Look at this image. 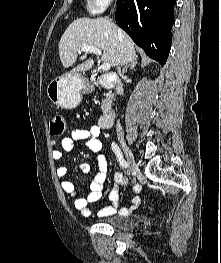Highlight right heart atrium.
I'll return each instance as SVG.
<instances>
[{"label":"right heart atrium","mask_w":221,"mask_h":263,"mask_svg":"<svg viewBox=\"0 0 221 263\" xmlns=\"http://www.w3.org/2000/svg\"><path fill=\"white\" fill-rule=\"evenodd\" d=\"M115 0H87V8L92 14L102 13Z\"/></svg>","instance_id":"right-heart-atrium-1"}]
</instances>
